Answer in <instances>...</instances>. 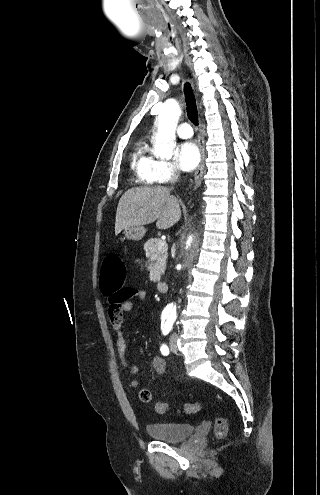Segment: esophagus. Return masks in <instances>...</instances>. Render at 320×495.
<instances>
[{
    "instance_id": "1",
    "label": "esophagus",
    "mask_w": 320,
    "mask_h": 495,
    "mask_svg": "<svg viewBox=\"0 0 320 495\" xmlns=\"http://www.w3.org/2000/svg\"><path fill=\"white\" fill-rule=\"evenodd\" d=\"M199 144H200V150H201V161L200 164L195 172L194 176V181H195V186H199L202 181V177L204 174V159H205V148H204V140L203 136L200 135L199 137Z\"/></svg>"
}]
</instances>
